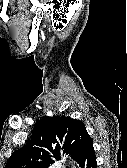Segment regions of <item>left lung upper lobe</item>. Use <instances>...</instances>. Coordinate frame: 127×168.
Wrapping results in <instances>:
<instances>
[{"mask_svg": "<svg viewBox=\"0 0 127 168\" xmlns=\"http://www.w3.org/2000/svg\"><path fill=\"white\" fill-rule=\"evenodd\" d=\"M88 137L80 120L65 116L44 117L36 122L31 138L12 153L4 168H48L54 159H60L61 149L76 160Z\"/></svg>", "mask_w": 127, "mask_h": 168, "instance_id": "obj_1", "label": "left lung upper lobe"}]
</instances>
